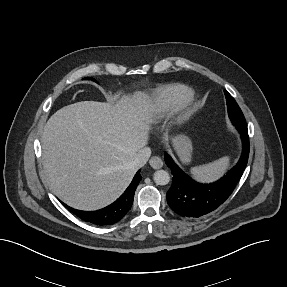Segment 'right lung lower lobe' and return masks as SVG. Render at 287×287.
I'll return each instance as SVG.
<instances>
[{
    "mask_svg": "<svg viewBox=\"0 0 287 287\" xmlns=\"http://www.w3.org/2000/svg\"><path fill=\"white\" fill-rule=\"evenodd\" d=\"M141 179L142 177L139 170L125 192L114 203L100 210L81 211L73 209L64 203L63 204L77 217L88 223L99 226L112 225L120 221L130 210L133 203L136 187L138 186Z\"/></svg>",
    "mask_w": 287,
    "mask_h": 287,
    "instance_id": "obj_1",
    "label": "right lung lower lobe"
}]
</instances>
